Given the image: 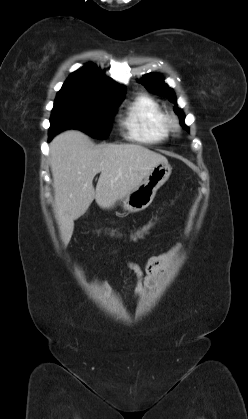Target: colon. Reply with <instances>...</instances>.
<instances>
[{
  "label": "colon",
  "mask_w": 248,
  "mask_h": 419,
  "mask_svg": "<svg viewBox=\"0 0 248 419\" xmlns=\"http://www.w3.org/2000/svg\"><path fill=\"white\" fill-rule=\"evenodd\" d=\"M147 226H148V227H150V226H151V224H148Z\"/></svg>",
  "instance_id": "5ec220e1"
}]
</instances>
